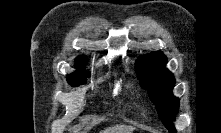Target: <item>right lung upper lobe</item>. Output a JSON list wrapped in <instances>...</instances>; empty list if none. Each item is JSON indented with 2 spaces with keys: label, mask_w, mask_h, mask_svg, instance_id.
I'll return each instance as SVG.
<instances>
[{
  "label": "right lung upper lobe",
  "mask_w": 221,
  "mask_h": 133,
  "mask_svg": "<svg viewBox=\"0 0 221 133\" xmlns=\"http://www.w3.org/2000/svg\"><path fill=\"white\" fill-rule=\"evenodd\" d=\"M84 59L85 57L84 56H80L76 59V63L77 64H82L84 62ZM74 75H81L80 73H75V74H72L71 76H74Z\"/></svg>",
  "instance_id": "1"
}]
</instances>
